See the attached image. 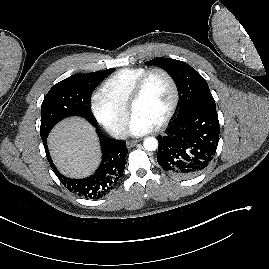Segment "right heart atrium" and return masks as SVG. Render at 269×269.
Here are the masks:
<instances>
[{
	"instance_id": "obj_1",
	"label": "right heart atrium",
	"mask_w": 269,
	"mask_h": 269,
	"mask_svg": "<svg viewBox=\"0 0 269 269\" xmlns=\"http://www.w3.org/2000/svg\"><path fill=\"white\" fill-rule=\"evenodd\" d=\"M90 107L96 120L112 135L116 137L125 135L128 120L125 108L115 104L102 91L93 93Z\"/></svg>"
}]
</instances>
